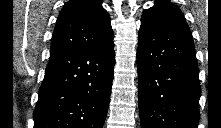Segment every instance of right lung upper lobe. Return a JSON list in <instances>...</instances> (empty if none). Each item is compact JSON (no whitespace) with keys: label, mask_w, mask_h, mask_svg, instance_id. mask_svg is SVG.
Wrapping results in <instances>:
<instances>
[{"label":"right lung upper lobe","mask_w":221,"mask_h":128,"mask_svg":"<svg viewBox=\"0 0 221 128\" xmlns=\"http://www.w3.org/2000/svg\"><path fill=\"white\" fill-rule=\"evenodd\" d=\"M113 37L102 0H70L57 18L50 54L104 47Z\"/></svg>","instance_id":"1"}]
</instances>
